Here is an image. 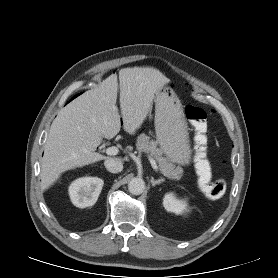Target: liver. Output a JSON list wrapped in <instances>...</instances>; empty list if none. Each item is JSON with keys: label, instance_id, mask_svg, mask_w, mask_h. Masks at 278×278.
I'll return each mask as SVG.
<instances>
[{"label": "liver", "instance_id": "liver-1", "mask_svg": "<svg viewBox=\"0 0 278 278\" xmlns=\"http://www.w3.org/2000/svg\"><path fill=\"white\" fill-rule=\"evenodd\" d=\"M168 82L153 68H124L119 72L121 116L116 106V74L63 107L45 144L40 173L42 189H48L65 171L108 159L95 152L102 139H112L119 133L121 117L124 130L135 134L150 113L157 91Z\"/></svg>", "mask_w": 278, "mask_h": 278}]
</instances>
